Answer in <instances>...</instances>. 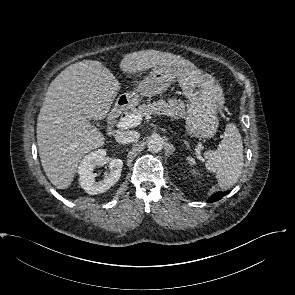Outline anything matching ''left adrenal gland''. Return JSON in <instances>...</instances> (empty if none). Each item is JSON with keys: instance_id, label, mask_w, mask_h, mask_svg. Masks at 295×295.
Masks as SVG:
<instances>
[{"instance_id": "1", "label": "left adrenal gland", "mask_w": 295, "mask_h": 295, "mask_svg": "<svg viewBox=\"0 0 295 295\" xmlns=\"http://www.w3.org/2000/svg\"><path fill=\"white\" fill-rule=\"evenodd\" d=\"M184 144L186 145L187 149H190L189 143L186 140H183Z\"/></svg>"}]
</instances>
